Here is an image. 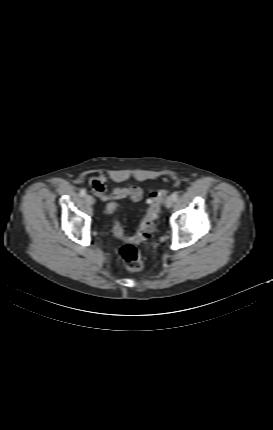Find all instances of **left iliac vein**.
<instances>
[{
    "instance_id": "obj_1",
    "label": "left iliac vein",
    "mask_w": 273,
    "mask_h": 430,
    "mask_svg": "<svg viewBox=\"0 0 273 430\" xmlns=\"http://www.w3.org/2000/svg\"><path fill=\"white\" fill-rule=\"evenodd\" d=\"M174 199H173V197L172 196H169L167 199H166V201H165V206L167 207V208H171L172 206H173V204H174Z\"/></svg>"
}]
</instances>
